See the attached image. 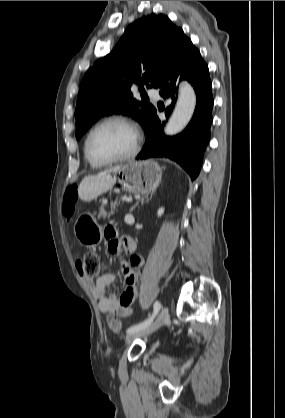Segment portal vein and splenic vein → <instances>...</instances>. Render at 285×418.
I'll list each match as a JSON object with an SVG mask.
<instances>
[{
  "label": "portal vein and splenic vein",
  "instance_id": "1",
  "mask_svg": "<svg viewBox=\"0 0 285 418\" xmlns=\"http://www.w3.org/2000/svg\"><path fill=\"white\" fill-rule=\"evenodd\" d=\"M122 200H123V201H127V202H131V201H132V199H131V198H126V197H123V198H122Z\"/></svg>",
  "mask_w": 285,
  "mask_h": 418
}]
</instances>
